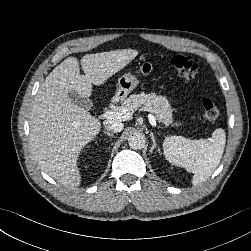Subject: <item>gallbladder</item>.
<instances>
[{"mask_svg": "<svg viewBox=\"0 0 251 251\" xmlns=\"http://www.w3.org/2000/svg\"><path fill=\"white\" fill-rule=\"evenodd\" d=\"M68 97L77 105L80 107L90 110L93 106V103L91 100L82 98L80 95H78L75 91H71L68 93Z\"/></svg>", "mask_w": 251, "mask_h": 251, "instance_id": "gallbladder-1", "label": "gallbladder"}]
</instances>
